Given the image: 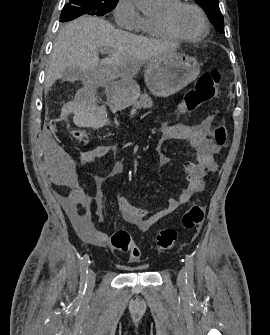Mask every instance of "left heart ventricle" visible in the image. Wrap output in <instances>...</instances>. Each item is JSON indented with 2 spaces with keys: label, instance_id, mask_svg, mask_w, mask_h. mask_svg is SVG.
<instances>
[{
  "label": "left heart ventricle",
  "instance_id": "obj_1",
  "mask_svg": "<svg viewBox=\"0 0 270 335\" xmlns=\"http://www.w3.org/2000/svg\"><path fill=\"white\" fill-rule=\"evenodd\" d=\"M173 22L175 28L186 35H195L203 31V23L198 12L189 5H182L179 8Z\"/></svg>",
  "mask_w": 270,
  "mask_h": 335
}]
</instances>
